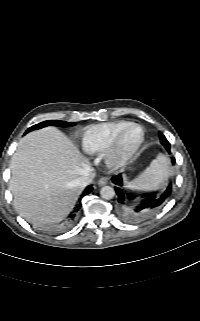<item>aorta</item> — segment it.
<instances>
[{
  "instance_id": "762f6f07",
  "label": "aorta",
  "mask_w": 200,
  "mask_h": 321,
  "mask_svg": "<svg viewBox=\"0 0 200 321\" xmlns=\"http://www.w3.org/2000/svg\"><path fill=\"white\" fill-rule=\"evenodd\" d=\"M100 195L105 200H110L115 196V190L110 186H104L100 190Z\"/></svg>"
}]
</instances>
